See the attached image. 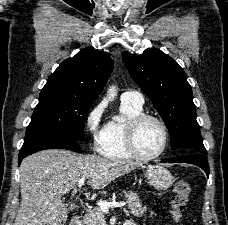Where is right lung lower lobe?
<instances>
[{"label": "right lung lower lobe", "mask_w": 228, "mask_h": 225, "mask_svg": "<svg viewBox=\"0 0 228 225\" xmlns=\"http://www.w3.org/2000/svg\"><path fill=\"white\" fill-rule=\"evenodd\" d=\"M45 149H67L81 152L77 140L68 135L56 133H40L26 136L19 153L18 165L23 158L35 152Z\"/></svg>", "instance_id": "1"}]
</instances>
